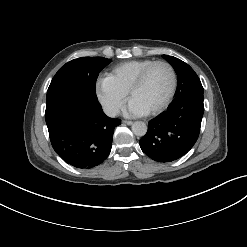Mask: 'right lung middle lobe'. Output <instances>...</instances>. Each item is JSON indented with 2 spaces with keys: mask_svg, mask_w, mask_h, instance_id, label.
I'll use <instances>...</instances> for the list:
<instances>
[{
  "mask_svg": "<svg viewBox=\"0 0 247 247\" xmlns=\"http://www.w3.org/2000/svg\"><path fill=\"white\" fill-rule=\"evenodd\" d=\"M111 62L103 57H81L63 65L53 77L46 101L60 94L76 93L96 98L99 72Z\"/></svg>",
  "mask_w": 247,
  "mask_h": 247,
  "instance_id": "right-lung-middle-lobe-1",
  "label": "right lung middle lobe"
}]
</instances>
